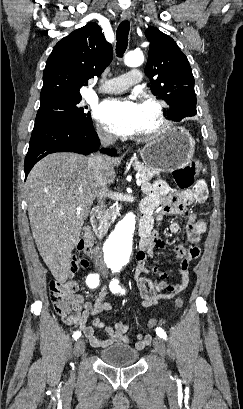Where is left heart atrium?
<instances>
[{
    "label": "left heart atrium",
    "mask_w": 243,
    "mask_h": 409,
    "mask_svg": "<svg viewBox=\"0 0 243 409\" xmlns=\"http://www.w3.org/2000/svg\"><path fill=\"white\" fill-rule=\"evenodd\" d=\"M96 118L117 135L137 133L138 104L132 100H112L102 103L95 112Z\"/></svg>",
    "instance_id": "1"
}]
</instances>
